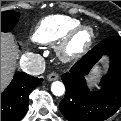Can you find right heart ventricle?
<instances>
[{
	"label": "right heart ventricle",
	"mask_w": 121,
	"mask_h": 121,
	"mask_svg": "<svg viewBox=\"0 0 121 121\" xmlns=\"http://www.w3.org/2000/svg\"><path fill=\"white\" fill-rule=\"evenodd\" d=\"M78 21L63 15H51L42 19L33 31L32 39L40 44H54L61 41Z\"/></svg>",
	"instance_id": "e07e8e85"
}]
</instances>
